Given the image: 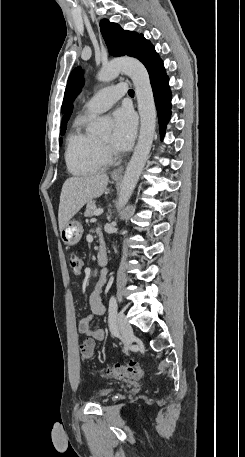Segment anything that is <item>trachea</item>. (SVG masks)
I'll return each mask as SVG.
<instances>
[{"instance_id": "1", "label": "trachea", "mask_w": 245, "mask_h": 457, "mask_svg": "<svg viewBox=\"0 0 245 457\" xmlns=\"http://www.w3.org/2000/svg\"><path fill=\"white\" fill-rule=\"evenodd\" d=\"M128 94H129V95H134V90H131V89L128 90Z\"/></svg>"}]
</instances>
